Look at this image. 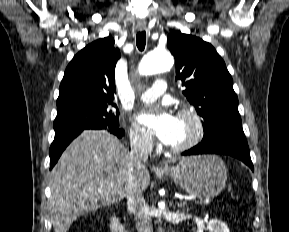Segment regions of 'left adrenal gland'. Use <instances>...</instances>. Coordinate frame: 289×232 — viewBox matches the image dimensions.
Returning a JSON list of instances; mask_svg holds the SVG:
<instances>
[{"instance_id": "left-adrenal-gland-1", "label": "left adrenal gland", "mask_w": 289, "mask_h": 232, "mask_svg": "<svg viewBox=\"0 0 289 232\" xmlns=\"http://www.w3.org/2000/svg\"><path fill=\"white\" fill-rule=\"evenodd\" d=\"M183 205V203H178V206L181 207Z\"/></svg>"}]
</instances>
